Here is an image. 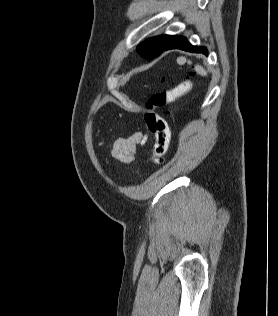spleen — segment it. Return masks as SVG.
<instances>
[{
	"mask_svg": "<svg viewBox=\"0 0 278 316\" xmlns=\"http://www.w3.org/2000/svg\"><path fill=\"white\" fill-rule=\"evenodd\" d=\"M177 63L180 65H183L184 63H186V59L184 57H179L177 58ZM188 63L190 64L191 62L188 61ZM195 70L200 75H203V76L207 75V72L204 70V68L201 65H196Z\"/></svg>",
	"mask_w": 278,
	"mask_h": 316,
	"instance_id": "obj_1",
	"label": "spleen"
}]
</instances>
